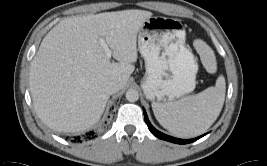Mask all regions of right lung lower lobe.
<instances>
[{"instance_id":"obj_1","label":"right lung lower lobe","mask_w":267,"mask_h":166,"mask_svg":"<svg viewBox=\"0 0 267 166\" xmlns=\"http://www.w3.org/2000/svg\"><path fill=\"white\" fill-rule=\"evenodd\" d=\"M93 132H89L88 134H86L87 135V137L89 136V135H91ZM74 142H80L81 141V137L80 136H77V137H74Z\"/></svg>"}]
</instances>
